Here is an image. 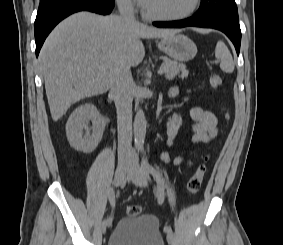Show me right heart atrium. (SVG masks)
Here are the masks:
<instances>
[{
    "label": "right heart atrium",
    "mask_w": 283,
    "mask_h": 245,
    "mask_svg": "<svg viewBox=\"0 0 283 245\" xmlns=\"http://www.w3.org/2000/svg\"><path fill=\"white\" fill-rule=\"evenodd\" d=\"M119 6L125 10L131 11L134 9V1L133 0H116Z\"/></svg>",
    "instance_id": "1"
}]
</instances>
